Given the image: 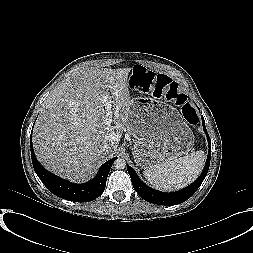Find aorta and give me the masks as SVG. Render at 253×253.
<instances>
[{"label": "aorta", "mask_w": 253, "mask_h": 253, "mask_svg": "<svg viewBox=\"0 0 253 253\" xmlns=\"http://www.w3.org/2000/svg\"><path fill=\"white\" fill-rule=\"evenodd\" d=\"M114 167L116 168V169H119V170H121V169H124L125 167H126V161H125V159H123V158H117L115 161H114Z\"/></svg>", "instance_id": "762f6f07"}]
</instances>
